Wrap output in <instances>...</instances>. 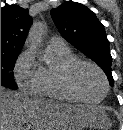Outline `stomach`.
Wrapping results in <instances>:
<instances>
[{
    "mask_svg": "<svg viewBox=\"0 0 123 130\" xmlns=\"http://www.w3.org/2000/svg\"><path fill=\"white\" fill-rule=\"evenodd\" d=\"M85 127L77 126L76 128H73L72 130H84Z\"/></svg>",
    "mask_w": 123,
    "mask_h": 130,
    "instance_id": "stomach-1",
    "label": "stomach"
}]
</instances>
